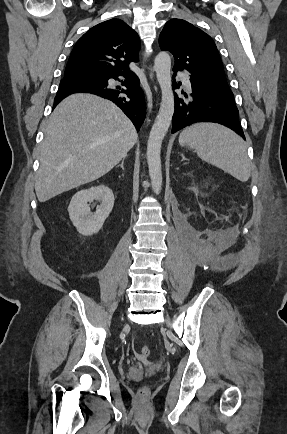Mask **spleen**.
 I'll use <instances>...</instances> for the list:
<instances>
[{
    "label": "spleen",
    "mask_w": 287,
    "mask_h": 434,
    "mask_svg": "<svg viewBox=\"0 0 287 434\" xmlns=\"http://www.w3.org/2000/svg\"><path fill=\"white\" fill-rule=\"evenodd\" d=\"M181 146L194 149L200 159L241 182L251 176V163L243 139L231 129L216 123H197L179 136Z\"/></svg>",
    "instance_id": "spleen-1"
}]
</instances>
